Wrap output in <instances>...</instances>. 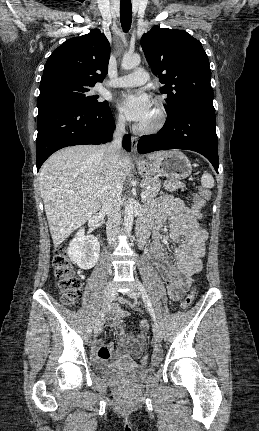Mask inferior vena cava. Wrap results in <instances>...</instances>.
<instances>
[{
  "label": "inferior vena cava",
  "instance_id": "obj_1",
  "mask_svg": "<svg viewBox=\"0 0 259 431\" xmlns=\"http://www.w3.org/2000/svg\"><path fill=\"white\" fill-rule=\"evenodd\" d=\"M125 122L124 117H119L112 141L102 146V151L105 153V165L108 176L102 204L108 216L106 227L107 240L112 246L116 244V235L121 222L119 202L123 182L120 172V163L121 141L125 134Z\"/></svg>",
  "mask_w": 259,
  "mask_h": 431
}]
</instances>
